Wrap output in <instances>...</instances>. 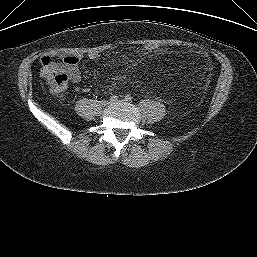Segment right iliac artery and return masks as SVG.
Here are the masks:
<instances>
[{
	"instance_id": "1",
	"label": "right iliac artery",
	"mask_w": 257,
	"mask_h": 257,
	"mask_svg": "<svg viewBox=\"0 0 257 257\" xmlns=\"http://www.w3.org/2000/svg\"><path fill=\"white\" fill-rule=\"evenodd\" d=\"M118 100V96H116V95H112L111 97H110V101L111 102H115V101H117Z\"/></svg>"
}]
</instances>
